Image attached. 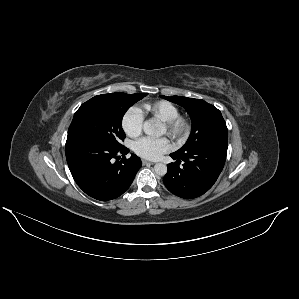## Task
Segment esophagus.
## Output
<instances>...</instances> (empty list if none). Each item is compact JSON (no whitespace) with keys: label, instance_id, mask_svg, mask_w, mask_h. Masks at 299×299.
<instances>
[{"label":"esophagus","instance_id":"34e87169","mask_svg":"<svg viewBox=\"0 0 299 299\" xmlns=\"http://www.w3.org/2000/svg\"><path fill=\"white\" fill-rule=\"evenodd\" d=\"M142 164H143V165H153L154 162L147 161V160H142Z\"/></svg>","mask_w":299,"mask_h":299}]
</instances>
